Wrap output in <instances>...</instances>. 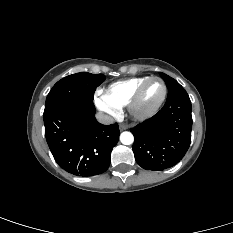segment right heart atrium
I'll return each mask as SVG.
<instances>
[{"label": "right heart atrium", "mask_w": 233, "mask_h": 233, "mask_svg": "<svg viewBox=\"0 0 233 233\" xmlns=\"http://www.w3.org/2000/svg\"><path fill=\"white\" fill-rule=\"evenodd\" d=\"M95 104L101 111L111 117H117L120 114L119 109L108 103L101 92L96 93Z\"/></svg>", "instance_id": "obj_1"}]
</instances>
